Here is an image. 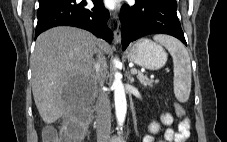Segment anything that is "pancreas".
<instances>
[{"label": "pancreas", "mask_w": 227, "mask_h": 142, "mask_svg": "<svg viewBox=\"0 0 227 142\" xmlns=\"http://www.w3.org/2000/svg\"><path fill=\"white\" fill-rule=\"evenodd\" d=\"M137 78L139 79L141 84L144 86H152L154 82L155 83L157 82V80L154 81L153 79L148 78L147 76L143 75L142 73L138 74Z\"/></svg>", "instance_id": "1"}]
</instances>
